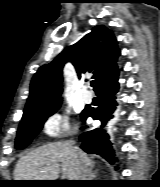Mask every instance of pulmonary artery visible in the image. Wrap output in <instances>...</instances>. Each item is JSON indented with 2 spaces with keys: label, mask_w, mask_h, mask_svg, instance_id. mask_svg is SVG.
<instances>
[{
  "label": "pulmonary artery",
  "mask_w": 160,
  "mask_h": 187,
  "mask_svg": "<svg viewBox=\"0 0 160 187\" xmlns=\"http://www.w3.org/2000/svg\"><path fill=\"white\" fill-rule=\"evenodd\" d=\"M81 99L84 103H91L92 102V95L90 93H83L81 95Z\"/></svg>",
  "instance_id": "1"
}]
</instances>
